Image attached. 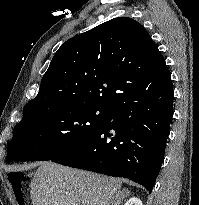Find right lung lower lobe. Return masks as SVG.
Here are the masks:
<instances>
[{"label":"right lung lower lobe","instance_id":"98d812e1","mask_svg":"<svg viewBox=\"0 0 199 205\" xmlns=\"http://www.w3.org/2000/svg\"><path fill=\"white\" fill-rule=\"evenodd\" d=\"M151 86L111 107L108 122L100 131L72 152L52 161L125 177L151 193L163 162L173 115L170 72Z\"/></svg>","mask_w":199,"mask_h":205}]
</instances>
